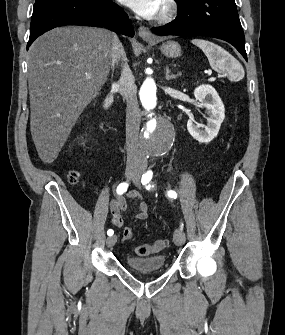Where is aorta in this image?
<instances>
[{
  "label": "aorta",
  "mask_w": 285,
  "mask_h": 335,
  "mask_svg": "<svg viewBox=\"0 0 285 335\" xmlns=\"http://www.w3.org/2000/svg\"><path fill=\"white\" fill-rule=\"evenodd\" d=\"M145 112H152V119H147V125H141L138 137H141L140 146L147 156H162L163 152H170L177 130L170 125V119H159L161 102H165V95H160L152 78H146L140 90L135 91Z\"/></svg>",
  "instance_id": "obj_1"
}]
</instances>
